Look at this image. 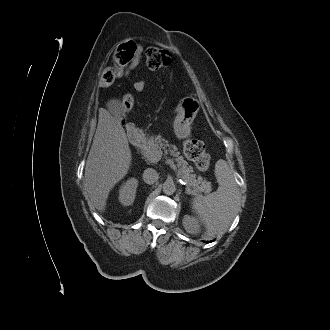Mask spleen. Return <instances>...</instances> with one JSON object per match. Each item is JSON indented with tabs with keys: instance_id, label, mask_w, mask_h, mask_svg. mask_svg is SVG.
Masks as SVG:
<instances>
[{
	"instance_id": "1",
	"label": "spleen",
	"mask_w": 330,
	"mask_h": 330,
	"mask_svg": "<svg viewBox=\"0 0 330 330\" xmlns=\"http://www.w3.org/2000/svg\"><path fill=\"white\" fill-rule=\"evenodd\" d=\"M215 175L219 183L217 191L206 196L197 195L191 202L192 211L212 237L228 228L239 207V190L233 170L220 159L215 164Z\"/></svg>"
}]
</instances>
